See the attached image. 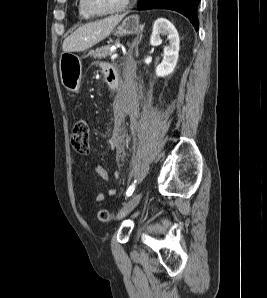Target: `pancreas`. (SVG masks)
Instances as JSON below:
<instances>
[{"label": "pancreas", "mask_w": 267, "mask_h": 298, "mask_svg": "<svg viewBox=\"0 0 267 298\" xmlns=\"http://www.w3.org/2000/svg\"><path fill=\"white\" fill-rule=\"evenodd\" d=\"M120 45H121L120 42L116 41L114 44H108V45L102 46L100 48H97L96 50H91L88 53V56H92L94 58H105L107 56H111L113 53L111 51V47L112 46L118 47Z\"/></svg>", "instance_id": "cf45deb5"}]
</instances>
